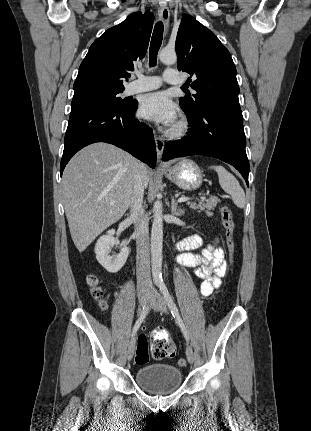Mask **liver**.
Listing matches in <instances>:
<instances>
[{
  "label": "liver",
  "mask_w": 311,
  "mask_h": 431,
  "mask_svg": "<svg viewBox=\"0 0 311 431\" xmlns=\"http://www.w3.org/2000/svg\"><path fill=\"white\" fill-rule=\"evenodd\" d=\"M138 170L147 188L150 170L146 164L111 144H91L67 164L61 192L78 251H84L103 229L124 216Z\"/></svg>",
  "instance_id": "6515ba94"
}]
</instances>
